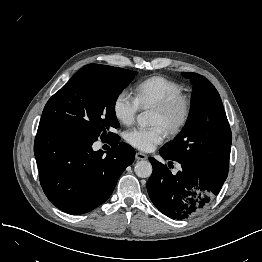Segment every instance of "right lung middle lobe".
<instances>
[{
    "mask_svg": "<svg viewBox=\"0 0 262 262\" xmlns=\"http://www.w3.org/2000/svg\"><path fill=\"white\" fill-rule=\"evenodd\" d=\"M137 72L88 64L47 102L39 126L64 128L92 139H108L118 128L115 102ZM109 135V136H108Z\"/></svg>",
    "mask_w": 262,
    "mask_h": 262,
    "instance_id": "right-lung-middle-lobe-1",
    "label": "right lung middle lobe"
}]
</instances>
